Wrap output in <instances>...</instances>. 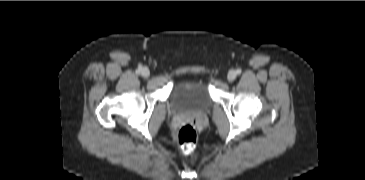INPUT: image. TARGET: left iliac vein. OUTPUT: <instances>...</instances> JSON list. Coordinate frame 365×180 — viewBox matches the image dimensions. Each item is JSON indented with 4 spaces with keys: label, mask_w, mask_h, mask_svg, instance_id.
Returning <instances> with one entry per match:
<instances>
[{
    "label": "left iliac vein",
    "mask_w": 365,
    "mask_h": 180,
    "mask_svg": "<svg viewBox=\"0 0 365 180\" xmlns=\"http://www.w3.org/2000/svg\"><path fill=\"white\" fill-rule=\"evenodd\" d=\"M236 77H237V73H236L235 70H230L228 72V75H227L228 81L232 82V81H234L236 79Z\"/></svg>",
    "instance_id": "4c4485c4"
}]
</instances>
